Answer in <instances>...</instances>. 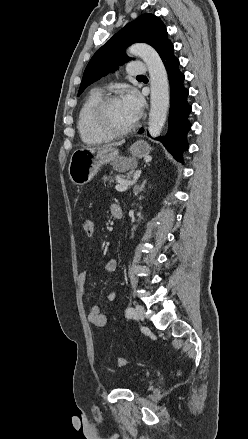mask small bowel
Returning <instances> with one entry per match:
<instances>
[{
	"label": "small bowel",
	"instance_id": "1",
	"mask_svg": "<svg viewBox=\"0 0 248 439\" xmlns=\"http://www.w3.org/2000/svg\"><path fill=\"white\" fill-rule=\"evenodd\" d=\"M116 206L113 204L111 206L112 208ZM117 269V261L116 260H109L105 264V273L109 274L114 272ZM78 282L81 289V292L83 295L87 294L88 287H89V270L88 268H84L78 276ZM107 299L109 301H114L116 299V293L113 291H110L107 293ZM88 320L91 324H93L96 327H104L107 324L108 318L105 314H103L100 310V308L96 305L92 306L88 312Z\"/></svg>",
	"mask_w": 248,
	"mask_h": 439
}]
</instances>
